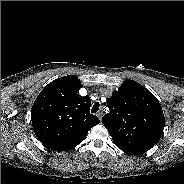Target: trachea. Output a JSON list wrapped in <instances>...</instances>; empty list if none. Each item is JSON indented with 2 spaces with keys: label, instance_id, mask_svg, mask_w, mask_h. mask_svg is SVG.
Segmentation results:
<instances>
[{
  "label": "trachea",
  "instance_id": "3493384b",
  "mask_svg": "<svg viewBox=\"0 0 184 184\" xmlns=\"http://www.w3.org/2000/svg\"><path fill=\"white\" fill-rule=\"evenodd\" d=\"M99 106H100L99 102L94 103L91 109V113H96L99 110Z\"/></svg>",
  "mask_w": 184,
  "mask_h": 184
}]
</instances>
